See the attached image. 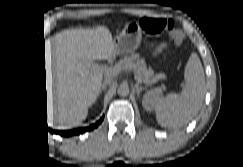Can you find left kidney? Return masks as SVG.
Listing matches in <instances>:
<instances>
[{"mask_svg":"<svg viewBox=\"0 0 243 167\" xmlns=\"http://www.w3.org/2000/svg\"><path fill=\"white\" fill-rule=\"evenodd\" d=\"M160 94H161V89L158 88L148 91L144 95L143 106L147 110L151 109L152 105H154L156 101L159 99Z\"/></svg>","mask_w":243,"mask_h":167,"instance_id":"obj_1","label":"left kidney"}]
</instances>
